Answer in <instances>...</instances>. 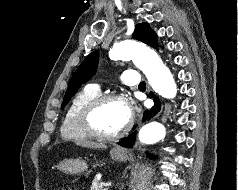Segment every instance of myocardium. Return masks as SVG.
Wrapping results in <instances>:
<instances>
[{
  "label": "myocardium",
  "instance_id": "f54148a6",
  "mask_svg": "<svg viewBox=\"0 0 238 190\" xmlns=\"http://www.w3.org/2000/svg\"><path fill=\"white\" fill-rule=\"evenodd\" d=\"M113 100H120L125 102V98L117 93H106L98 95L92 99L81 111L79 122L83 131L91 138L98 140L111 141L123 137L131 129L133 125V118L130 116L127 124L115 133H106L101 131L96 123L95 116L98 110L107 102Z\"/></svg>",
  "mask_w": 238,
  "mask_h": 190
}]
</instances>
